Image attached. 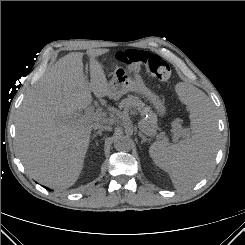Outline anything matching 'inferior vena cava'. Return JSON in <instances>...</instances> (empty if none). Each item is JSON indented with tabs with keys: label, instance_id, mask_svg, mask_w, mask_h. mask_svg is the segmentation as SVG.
<instances>
[{
	"label": "inferior vena cava",
	"instance_id": "obj_1",
	"mask_svg": "<svg viewBox=\"0 0 245 245\" xmlns=\"http://www.w3.org/2000/svg\"><path fill=\"white\" fill-rule=\"evenodd\" d=\"M93 129H103V130H111L112 128L108 125L100 124V123H95L93 126Z\"/></svg>",
	"mask_w": 245,
	"mask_h": 245
}]
</instances>
